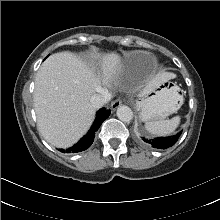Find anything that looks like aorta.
Segmentation results:
<instances>
[{
  "label": "aorta",
  "instance_id": "obj_1",
  "mask_svg": "<svg viewBox=\"0 0 220 220\" xmlns=\"http://www.w3.org/2000/svg\"><path fill=\"white\" fill-rule=\"evenodd\" d=\"M117 117L119 120L129 123L133 119V112L128 106L122 105L117 108Z\"/></svg>",
  "mask_w": 220,
  "mask_h": 220
}]
</instances>
